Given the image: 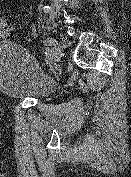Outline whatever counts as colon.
Instances as JSON below:
<instances>
[{
    "instance_id": "obj_1",
    "label": "colon",
    "mask_w": 131,
    "mask_h": 177,
    "mask_svg": "<svg viewBox=\"0 0 131 177\" xmlns=\"http://www.w3.org/2000/svg\"><path fill=\"white\" fill-rule=\"evenodd\" d=\"M12 34V28L8 19L0 14V39H7Z\"/></svg>"
}]
</instances>
